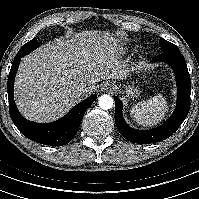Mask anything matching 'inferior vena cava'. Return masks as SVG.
<instances>
[{
    "label": "inferior vena cava",
    "mask_w": 199,
    "mask_h": 199,
    "mask_svg": "<svg viewBox=\"0 0 199 199\" xmlns=\"http://www.w3.org/2000/svg\"><path fill=\"white\" fill-rule=\"evenodd\" d=\"M86 89H87V88H86V85H85V84H79V85L76 86V88H75V90H74V94H75L76 96L81 97V96H83V95L85 94Z\"/></svg>",
    "instance_id": "1"
}]
</instances>
